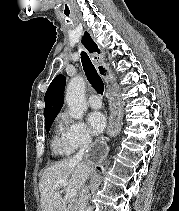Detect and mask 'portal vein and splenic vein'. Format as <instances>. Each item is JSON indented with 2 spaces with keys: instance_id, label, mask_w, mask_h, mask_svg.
<instances>
[{
  "instance_id": "obj_1",
  "label": "portal vein and splenic vein",
  "mask_w": 179,
  "mask_h": 211,
  "mask_svg": "<svg viewBox=\"0 0 179 211\" xmlns=\"http://www.w3.org/2000/svg\"><path fill=\"white\" fill-rule=\"evenodd\" d=\"M67 186L68 185V182L66 180H59L56 182V185L55 186ZM77 195V191L74 190V189H67L66 191V195H65V198H75Z\"/></svg>"
}]
</instances>
